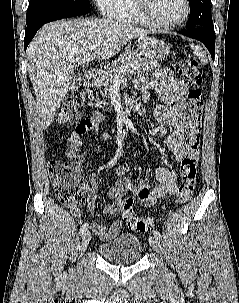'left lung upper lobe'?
Listing matches in <instances>:
<instances>
[{
  "label": "left lung upper lobe",
  "instance_id": "1",
  "mask_svg": "<svg viewBox=\"0 0 239 303\" xmlns=\"http://www.w3.org/2000/svg\"><path fill=\"white\" fill-rule=\"evenodd\" d=\"M190 15L187 22L188 28L214 27L209 0H189Z\"/></svg>",
  "mask_w": 239,
  "mask_h": 303
}]
</instances>
